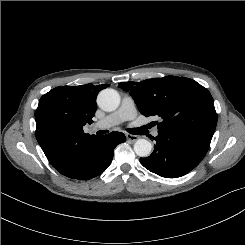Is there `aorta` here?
<instances>
[{"instance_id":"1","label":"aorta","mask_w":245,"mask_h":245,"mask_svg":"<svg viewBox=\"0 0 245 245\" xmlns=\"http://www.w3.org/2000/svg\"><path fill=\"white\" fill-rule=\"evenodd\" d=\"M98 105L104 111H114L119 107L120 95L114 89L107 88L98 95ZM152 145L146 139H138L134 144V151L140 157H147L151 154Z\"/></svg>"}]
</instances>
